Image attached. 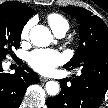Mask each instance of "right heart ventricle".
I'll return each mask as SVG.
<instances>
[{"label": "right heart ventricle", "instance_id": "e07e8e85", "mask_svg": "<svg viewBox=\"0 0 108 108\" xmlns=\"http://www.w3.org/2000/svg\"><path fill=\"white\" fill-rule=\"evenodd\" d=\"M47 21L54 33L62 29L68 30L69 28L68 21L62 15L57 13L48 15Z\"/></svg>", "mask_w": 108, "mask_h": 108}]
</instances>
